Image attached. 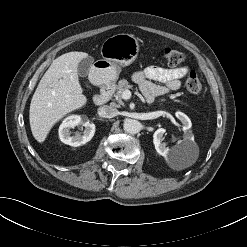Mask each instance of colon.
Listing matches in <instances>:
<instances>
[{"label":"colon","instance_id":"5ec220e1","mask_svg":"<svg viewBox=\"0 0 247 247\" xmlns=\"http://www.w3.org/2000/svg\"><path fill=\"white\" fill-rule=\"evenodd\" d=\"M163 57L167 65L177 67L185 62V55L176 49L167 47L163 51ZM186 89L193 95H198L201 92L202 85L195 71H191L186 79Z\"/></svg>","mask_w":247,"mask_h":247}]
</instances>
